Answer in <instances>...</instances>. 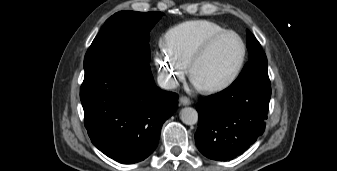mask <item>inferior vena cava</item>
Listing matches in <instances>:
<instances>
[{
    "instance_id": "obj_1",
    "label": "inferior vena cava",
    "mask_w": 337,
    "mask_h": 171,
    "mask_svg": "<svg viewBox=\"0 0 337 171\" xmlns=\"http://www.w3.org/2000/svg\"><path fill=\"white\" fill-rule=\"evenodd\" d=\"M158 84L163 89H175L178 87L176 79L170 78L167 74L161 73L157 77Z\"/></svg>"
}]
</instances>
